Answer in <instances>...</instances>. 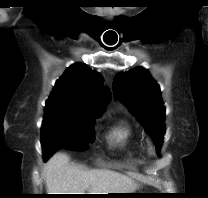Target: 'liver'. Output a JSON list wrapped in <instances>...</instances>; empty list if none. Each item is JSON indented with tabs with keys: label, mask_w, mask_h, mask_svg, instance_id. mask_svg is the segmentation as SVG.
I'll return each instance as SVG.
<instances>
[{
	"label": "liver",
	"mask_w": 208,
	"mask_h": 198,
	"mask_svg": "<svg viewBox=\"0 0 208 198\" xmlns=\"http://www.w3.org/2000/svg\"><path fill=\"white\" fill-rule=\"evenodd\" d=\"M48 194L133 193L137 184L108 169L83 170L64 153L54 154L43 169ZM88 192V193H85Z\"/></svg>",
	"instance_id": "6515ba94"
}]
</instances>
